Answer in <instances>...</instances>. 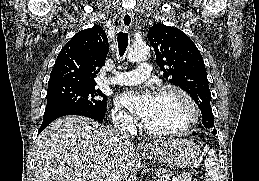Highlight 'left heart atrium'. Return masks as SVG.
Listing matches in <instances>:
<instances>
[{
	"label": "left heart atrium",
	"instance_id": "39dd6f15",
	"mask_svg": "<svg viewBox=\"0 0 259 181\" xmlns=\"http://www.w3.org/2000/svg\"><path fill=\"white\" fill-rule=\"evenodd\" d=\"M116 102L144 120L152 109L154 97L146 90H127L118 95Z\"/></svg>",
	"mask_w": 259,
	"mask_h": 181
}]
</instances>
